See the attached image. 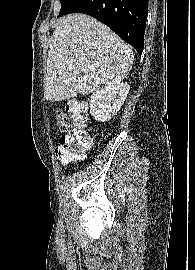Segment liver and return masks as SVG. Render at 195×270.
Returning a JSON list of instances; mask_svg holds the SVG:
<instances>
[{"label": "liver", "mask_w": 195, "mask_h": 270, "mask_svg": "<svg viewBox=\"0 0 195 270\" xmlns=\"http://www.w3.org/2000/svg\"><path fill=\"white\" fill-rule=\"evenodd\" d=\"M132 64L131 46L109 27L81 13L64 16L49 42L44 97L56 102L115 86Z\"/></svg>", "instance_id": "6515ba94"}]
</instances>
